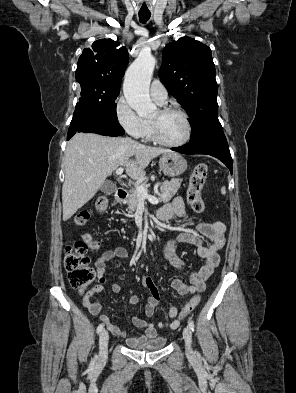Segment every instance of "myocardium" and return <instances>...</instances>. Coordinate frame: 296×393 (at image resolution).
<instances>
[{
  "label": "myocardium",
  "mask_w": 296,
  "mask_h": 393,
  "mask_svg": "<svg viewBox=\"0 0 296 393\" xmlns=\"http://www.w3.org/2000/svg\"><path fill=\"white\" fill-rule=\"evenodd\" d=\"M159 112L163 115L166 114H170V113H178L180 114L186 124V135L184 136L183 139H181L180 141L177 142H167L165 140H163L160 135H159V131H158V126L156 124V122H154L153 120L150 121L151 124V131H152V139L158 143L159 145L165 146V147H180L185 145L192 136V123L190 120L189 115L187 114V112H185L184 110L177 108V107H165V108H161L159 110Z\"/></svg>",
  "instance_id": "f54148a6"
}]
</instances>
